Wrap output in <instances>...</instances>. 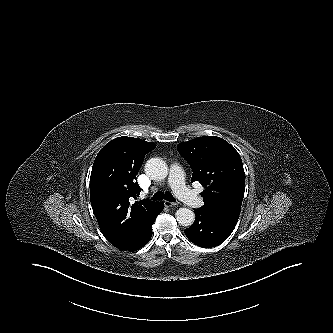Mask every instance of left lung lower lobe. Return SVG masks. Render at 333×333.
<instances>
[{
    "label": "left lung lower lobe",
    "mask_w": 333,
    "mask_h": 333,
    "mask_svg": "<svg viewBox=\"0 0 333 333\" xmlns=\"http://www.w3.org/2000/svg\"><path fill=\"white\" fill-rule=\"evenodd\" d=\"M194 224L185 229V235L194 244L211 248L224 242L233 232L236 223H232L219 215L206 210L194 209Z\"/></svg>",
    "instance_id": "0a47b994"
}]
</instances>
